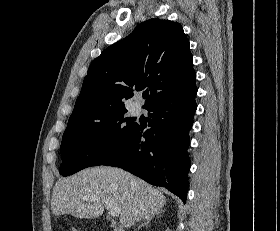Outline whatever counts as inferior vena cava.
<instances>
[{"instance_id":"inferior-vena-cava-1","label":"inferior vena cava","mask_w":280,"mask_h":231,"mask_svg":"<svg viewBox=\"0 0 280 231\" xmlns=\"http://www.w3.org/2000/svg\"><path fill=\"white\" fill-rule=\"evenodd\" d=\"M139 203H140L139 199H136V201L134 203L133 211H135V209H137V205H139Z\"/></svg>"}]
</instances>
